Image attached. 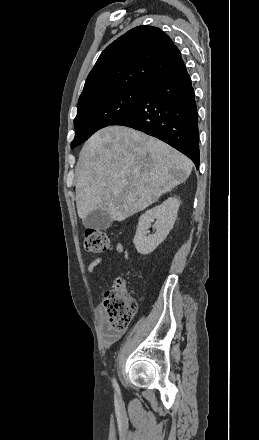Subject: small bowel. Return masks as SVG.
<instances>
[{
	"instance_id": "c3829d8e",
	"label": "small bowel",
	"mask_w": 259,
	"mask_h": 440,
	"mask_svg": "<svg viewBox=\"0 0 259 440\" xmlns=\"http://www.w3.org/2000/svg\"><path fill=\"white\" fill-rule=\"evenodd\" d=\"M115 250L119 256H122L125 260H128V252L122 243H116ZM102 262L103 259L100 257L93 259L88 265V272L90 274L94 273ZM95 314L99 323L103 345L105 347H109L120 339L124 333V330L115 329L108 323L102 304L95 308Z\"/></svg>"
}]
</instances>
